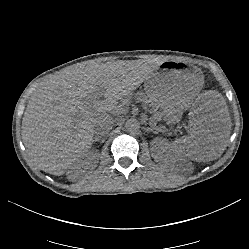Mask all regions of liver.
Instances as JSON below:
<instances>
[{
	"label": "liver",
	"instance_id": "6515ba94",
	"mask_svg": "<svg viewBox=\"0 0 249 249\" xmlns=\"http://www.w3.org/2000/svg\"><path fill=\"white\" fill-rule=\"evenodd\" d=\"M152 75L150 67L114 65L68 67L42 81L32 93L22 118L23 143L33 165L52 175L80 168L95 138L93 124L103 114L116 111L119 100L130 96ZM100 92L104 99L93 100ZM163 93L149 92L160 109L158 120L171 127L189 109V136L176 138L171 146L174 158L210 162L225 151L231 117L223 97L202 92L192 104L167 103Z\"/></svg>",
	"mask_w": 249,
	"mask_h": 249
}]
</instances>
